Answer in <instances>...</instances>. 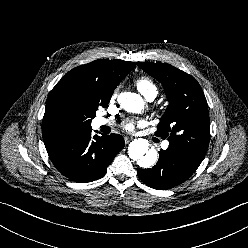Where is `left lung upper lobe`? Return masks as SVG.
<instances>
[{"instance_id":"1","label":"left lung upper lobe","mask_w":248,"mask_h":248,"mask_svg":"<svg viewBox=\"0 0 248 248\" xmlns=\"http://www.w3.org/2000/svg\"><path fill=\"white\" fill-rule=\"evenodd\" d=\"M138 66L163 85L169 101L156 135L203 160L210 140V121L208 104L198 82L169 64L138 62Z\"/></svg>"}]
</instances>
